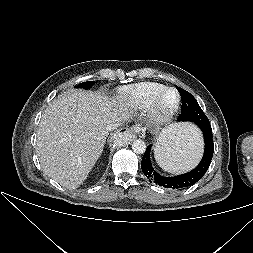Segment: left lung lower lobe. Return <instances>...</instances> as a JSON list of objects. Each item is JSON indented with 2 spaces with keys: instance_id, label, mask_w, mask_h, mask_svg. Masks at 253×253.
<instances>
[{
  "instance_id": "left-lung-lower-lobe-1",
  "label": "left lung lower lobe",
  "mask_w": 253,
  "mask_h": 253,
  "mask_svg": "<svg viewBox=\"0 0 253 253\" xmlns=\"http://www.w3.org/2000/svg\"><path fill=\"white\" fill-rule=\"evenodd\" d=\"M179 121V120H178ZM193 122V121H192ZM196 123L203 132L204 135V142H205V151L203 158L199 165L193 169L192 171L174 176V177H164L159 175L152 167L150 161V150L151 145L146 148V151L143 155L142 162H141V169L145 176L149 179L151 183H155L157 185L172 188V189H179L191 186L198 182L208 170L214 152V143L212 139V128L209 123V120L206 116L201 118H197L194 122Z\"/></svg>"
}]
</instances>
